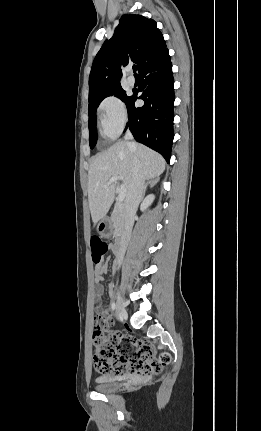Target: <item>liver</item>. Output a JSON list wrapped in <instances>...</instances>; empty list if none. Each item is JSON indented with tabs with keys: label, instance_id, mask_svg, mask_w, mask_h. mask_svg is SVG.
<instances>
[{
	"label": "liver",
	"instance_id": "6515ba94",
	"mask_svg": "<svg viewBox=\"0 0 261 431\" xmlns=\"http://www.w3.org/2000/svg\"><path fill=\"white\" fill-rule=\"evenodd\" d=\"M134 156L138 159L144 179L158 177L163 173L165 169L163 157L134 142L130 146L127 142H117L93 158L88 172V202L94 224L106 216L114 201L116 184L104 187L111 177L121 176L123 186L128 192L133 179Z\"/></svg>",
	"mask_w": 261,
	"mask_h": 431
}]
</instances>
